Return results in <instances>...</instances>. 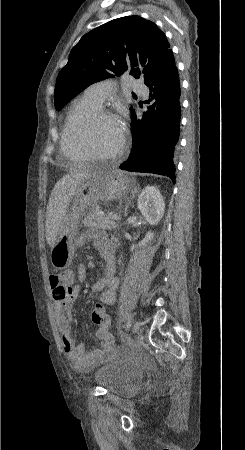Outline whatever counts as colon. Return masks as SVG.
<instances>
[{
  "mask_svg": "<svg viewBox=\"0 0 245 450\" xmlns=\"http://www.w3.org/2000/svg\"><path fill=\"white\" fill-rule=\"evenodd\" d=\"M90 317L93 323H95L98 327L111 329L110 318L108 316L106 308L103 305H94L91 310Z\"/></svg>",
  "mask_w": 245,
  "mask_h": 450,
  "instance_id": "1",
  "label": "colon"
}]
</instances>
